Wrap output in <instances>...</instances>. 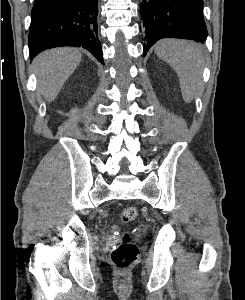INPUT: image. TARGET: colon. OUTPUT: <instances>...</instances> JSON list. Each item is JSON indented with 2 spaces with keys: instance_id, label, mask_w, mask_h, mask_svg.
Returning <instances> with one entry per match:
<instances>
[{
  "instance_id": "colon-1",
  "label": "colon",
  "mask_w": 245,
  "mask_h": 300,
  "mask_svg": "<svg viewBox=\"0 0 245 300\" xmlns=\"http://www.w3.org/2000/svg\"><path fill=\"white\" fill-rule=\"evenodd\" d=\"M138 212L135 207L129 206L124 208L120 213L122 223L129 224L137 219ZM139 251L137 246L132 242L131 235L125 233L120 242L111 253V261L119 270L129 269L138 259Z\"/></svg>"
}]
</instances>
